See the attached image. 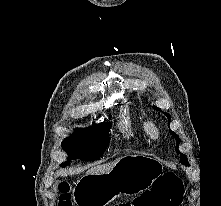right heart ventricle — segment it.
Segmentation results:
<instances>
[{"label": "right heart ventricle", "mask_w": 221, "mask_h": 206, "mask_svg": "<svg viewBox=\"0 0 221 206\" xmlns=\"http://www.w3.org/2000/svg\"><path fill=\"white\" fill-rule=\"evenodd\" d=\"M146 122L140 121L135 122L133 117L130 115L127 109H124L122 112L121 125L124 131L128 133L141 132L147 134L145 128Z\"/></svg>", "instance_id": "1"}]
</instances>
